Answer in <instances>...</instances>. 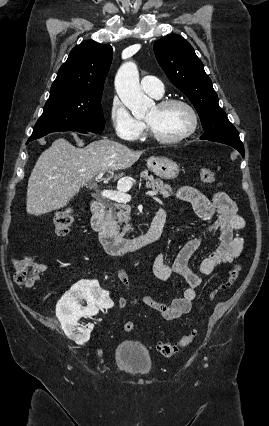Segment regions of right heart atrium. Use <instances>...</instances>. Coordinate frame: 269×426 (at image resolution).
I'll use <instances>...</instances> for the list:
<instances>
[{"instance_id":"d8ad5b80","label":"right heart atrium","mask_w":269,"mask_h":426,"mask_svg":"<svg viewBox=\"0 0 269 426\" xmlns=\"http://www.w3.org/2000/svg\"><path fill=\"white\" fill-rule=\"evenodd\" d=\"M109 118L115 134L124 140L134 141L144 134V123L136 119L116 96L110 101Z\"/></svg>"}]
</instances>
